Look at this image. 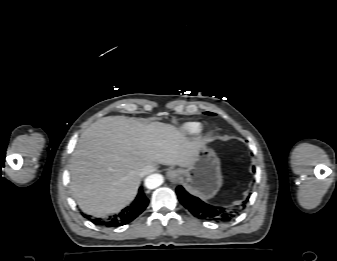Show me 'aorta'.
<instances>
[{
  "mask_svg": "<svg viewBox=\"0 0 337 261\" xmlns=\"http://www.w3.org/2000/svg\"><path fill=\"white\" fill-rule=\"evenodd\" d=\"M164 179L161 174H151L145 179V186L148 189H155L163 183Z\"/></svg>",
  "mask_w": 337,
  "mask_h": 261,
  "instance_id": "aorta-1",
  "label": "aorta"
}]
</instances>
